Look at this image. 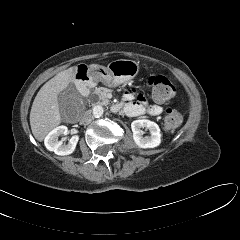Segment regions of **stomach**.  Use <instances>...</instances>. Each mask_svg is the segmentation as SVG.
<instances>
[{
    "mask_svg": "<svg viewBox=\"0 0 240 240\" xmlns=\"http://www.w3.org/2000/svg\"><path fill=\"white\" fill-rule=\"evenodd\" d=\"M138 72V62L118 59L110 62L107 67L99 66L90 70L89 77L94 82L100 81L109 87H115L133 79Z\"/></svg>",
    "mask_w": 240,
    "mask_h": 240,
    "instance_id": "1",
    "label": "stomach"
}]
</instances>
